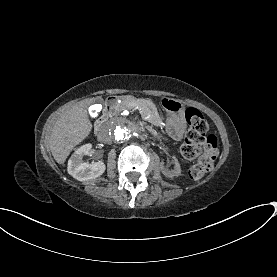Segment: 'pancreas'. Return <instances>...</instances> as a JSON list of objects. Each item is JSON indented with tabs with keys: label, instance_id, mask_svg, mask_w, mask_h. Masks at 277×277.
Wrapping results in <instances>:
<instances>
[{
	"label": "pancreas",
	"instance_id": "obj_1",
	"mask_svg": "<svg viewBox=\"0 0 277 277\" xmlns=\"http://www.w3.org/2000/svg\"><path fill=\"white\" fill-rule=\"evenodd\" d=\"M137 106L140 112L144 114V120L147 124L156 127L161 126L162 121L158 113V107L145 98L138 101L135 96L127 95L124 98L121 96H108L104 99V109L109 115H116L125 109L133 110Z\"/></svg>",
	"mask_w": 277,
	"mask_h": 277
}]
</instances>
